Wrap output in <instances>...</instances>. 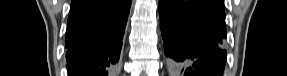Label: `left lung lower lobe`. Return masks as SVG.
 <instances>
[{"label": "left lung lower lobe", "mask_w": 287, "mask_h": 76, "mask_svg": "<svg viewBox=\"0 0 287 76\" xmlns=\"http://www.w3.org/2000/svg\"><path fill=\"white\" fill-rule=\"evenodd\" d=\"M164 54L185 76H222L226 50L222 0H159Z\"/></svg>", "instance_id": "obj_1"}]
</instances>
